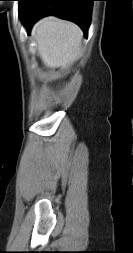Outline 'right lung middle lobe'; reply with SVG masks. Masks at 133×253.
I'll list each match as a JSON object with an SVG mask.
<instances>
[{
    "instance_id": "obj_1",
    "label": "right lung middle lobe",
    "mask_w": 133,
    "mask_h": 253,
    "mask_svg": "<svg viewBox=\"0 0 133 253\" xmlns=\"http://www.w3.org/2000/svg\"><path fill=\"white\" fill-rule=\"evenodd\" d=\"M18 1H19V15L21 16L23 9L29 0H18Z\"/></svg>"
}]
</instances>
